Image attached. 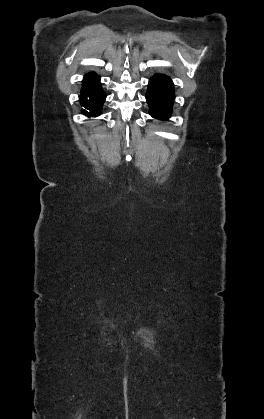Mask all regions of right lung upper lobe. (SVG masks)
<instances>
[{"instance_id":"1","label":"right lung upper lobe","mask_w":264,"mask_h":419,"mask_svg":"<svg viewBox=\"0 0 264 419\" xmlns=\"http://www.w3.org/2000/svg\"><path fill=\"white\" fill-rule=\"evenodd\" d=\"M96 74H94V73H88L86 76H85V78L84 79H88V78H90V77H93V76H95Z\"/></svg>"}]
</instances>
